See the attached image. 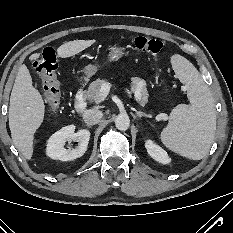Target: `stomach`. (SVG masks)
I'll use <instances>...</instances> for the list:
<instances>
[{
    "mask_svg": "<svg viewBox=\"0 0 233 233\" xmlns=\"http://www.w3.org/2000/svg\"><path fill=\"white\" fill-rule=\"evenodd\" d=\"M124 55H127V52L124 48L119 46H111L107 52V58L110 62L118 61ZM100 70L99 64H89L84 69V74L86 78H90L95 75Z\"/></svg>",
    "mask_w": 233,
    "mask_h": 233,
    "instance_id": "0dacf381",
    "label": "stomach"
}]
</instances>
